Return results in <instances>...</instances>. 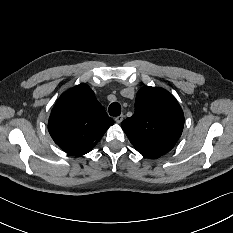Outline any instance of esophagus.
<instances>
[{
  "instance_id": "1",
  "label": "esophagus",
  "mask_w": 233,
  "mask_h": 233,
  "mask_svg": "<svg viewBox=\"0 0 233 233\" xmlns=\"http://www.w3.org/2000/svg\"><path fill=\"white\" fill-rule=\"evenodd\" d=\"M123 119H124V115L121 114V115H119V116H117V117L115 118V121H116L117 123H121V122L123 121Z\"/></svg>"
}]
</instances>
